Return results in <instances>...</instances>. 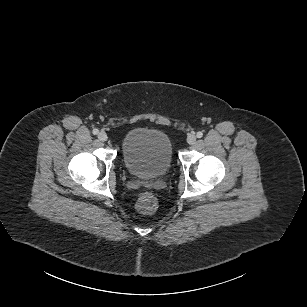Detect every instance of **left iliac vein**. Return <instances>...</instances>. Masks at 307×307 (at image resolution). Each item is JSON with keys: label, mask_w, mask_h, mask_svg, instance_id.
I'll return each instance as SVG.
<instances>
[{"label": "left iliac vein", "mask_w": 307, "mask_h": 307, "mask_svg": "<svg viewBox=\"0 0 307 307\" xmlns=\"http://www.w3.org/2000/svg\"><path fill=\"white\" fill-rule=\"evenodd\" d=\"M187 142L189 144H194L196 142V136L194 134H190L188 137H187Z\"/></svg>", "instance_id": "1"}]
</instances>
